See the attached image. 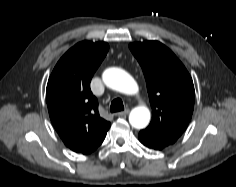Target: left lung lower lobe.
Wrapping results in <instances>:
<instances>
[{"mask_svg":"<svg viewBox=\"0 0 236 187\" xmlns=\"http://www.w3.org/2000/svg\"><path fill=\"white\" fill-rule=\"evenodd\" d=\"M140 142L142 144H144L145 146L149 147V148H153V149H156V150H161L163 149L164 147H166L167 145H164V144H161V143H158V142H155V141H152L150 139H147V138H143V137H140L138 136Z\"/></svg>","mask_w":236,"mask_h":187,"instance_id":"0a47b994","label":"left lung lower lobe"}]
</instances>
